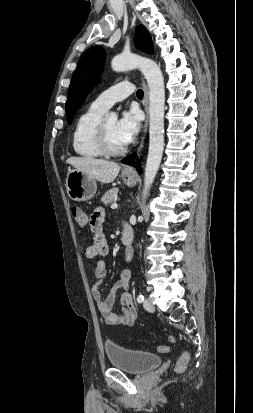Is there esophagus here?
Instances as JSON below:
<instances>
[{
	"label": "esophagus",
	"mask_w": 253,
	"mask_h": 413,
	"mask_svg": "<svg viewBox=\"0 0 253 413\" xmlns=\"http://www.w3.org/2000/svg\"><path fill=\"white\" fill-rule=\"evenodd\" d=\"M144 100H143V104H144V110L146 113V120H145V124H144V129H143V137H142V141L140 143V146L138 148L137 151V155L140 154L142 148H143V144H144V139H145V135L147 133V127H148V104H149V97H148V88L147 85L144 83ZM123 171L125 173H134V168L132 166H126Z\"/></svg>",
	"instance_id": "obj_1"
}]
</instances>
